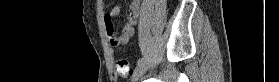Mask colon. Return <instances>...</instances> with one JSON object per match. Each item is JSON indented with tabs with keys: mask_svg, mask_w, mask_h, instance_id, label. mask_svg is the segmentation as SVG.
Returning <instances> with one entry per match:
<instances>
[{
	"mask_svg": "<svg viewBox=\"0 0 279 82\" xmlns=\"http://www.w3.org/2000/svg\"><path fill=\"white\" fill-rule=\"evenodd\" d=\"M115 68L117 73L123 77L131 74V67L125 58H118L116 60Z\"/></svg>",
	"mask_w": 279,
	"mask_h": 82,
	"instance_id": "obj_1",
	"label": "colon"
}]
</instances>
